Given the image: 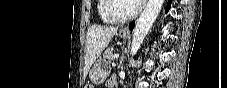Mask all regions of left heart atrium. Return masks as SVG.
I'll list each match as a JSON object with an SVG mask.
<instances>
[{
	"instance_id": "39dd6f15",
	"label": "left heart atrium",
	"mask_w": 227,
	"mask_h": 88,
	"mask_svg": "<svg viewBox=\"0 0 227 88\" xmlns=\"http://www.w3.org/2000/svg\"><path fill=\"white\" fill-rule=\"evenodd\" d=\"M135 3L137 5H143L145 3V0H135Z\"/></svg>"
}]
</instances>
